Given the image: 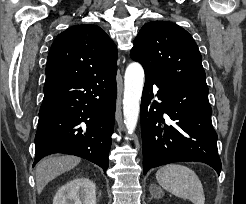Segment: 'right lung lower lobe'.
Wrapping results in <instances>:
<instances>
[{"label":"right lung lower lobe","instance_id":"right-lung-lower-lobe-1","mask_svg":"<svg viewBox=\"0 0 246 204\" xmlns=\"http://www.w3.org/2000/svg\"><path fill=\"white\" fill-rule=\"evenodd\" d=\"M116 72L45 84L35 163L54 153L85 158L104 172L114 128Z\"/></svg>","mask_w":246,"mask_h":204}]
</instances>
